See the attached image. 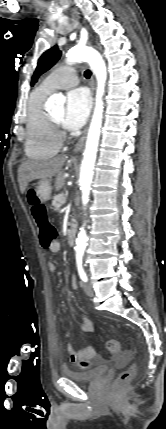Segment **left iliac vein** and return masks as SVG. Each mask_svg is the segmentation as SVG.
<instances>
[{
  "mask_svg": "<svg viewBox=\"0 0 166 429\" xmlns=\"http://www.w3.org/2000/svg\"><path fill=\"white\" fill-rule=\"evenodd\" d=\"M83 290L86 293V295L92 297L94 295V290L92 286L89 283L82 284Z\"/></svg>",
  "mask_w": 166,
  "mask_h": 429,
  "instance_id": "4c4485c4",
  "label": "left iliac vein"
}]
</instances>
